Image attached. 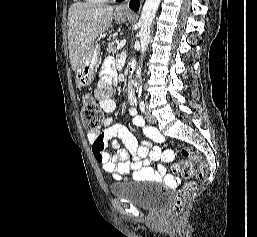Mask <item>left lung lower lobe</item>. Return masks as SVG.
Here are the masks:
<instances>
[{"mask_svg": "<svg viewBox=\"0 0 257 237\" xmlns=\"http://www.w3.org/2000/svg\"><path fill=\"white\" fill-rule=\"evenodd\" d=\"M120 2L122 0H119ZM129 7L135 11H137L139 9V0H132L130 3H129Z\"/></svg>", "mask_w": 257, "mask_h": 237, "instance_id": "1", "label": "left lung lower lobe"}]
</instances>
